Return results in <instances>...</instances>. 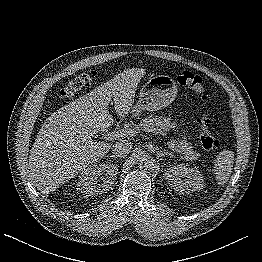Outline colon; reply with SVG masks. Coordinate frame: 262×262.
<instances>
[{
    "instance_id": "5ec220e1",
    "label": "colon",
    "mask_w": 262,
    "mask_h": 262,
    "mask_svg": "<svg viewBox=\"0 0 262 262\" xmlns=\"http://www.w3.org/2000/svg\"><path fill=\"white\" fill-rule=\"evenodd\" d=\"M95 73H83L72 79L68 84L62 88L59 92L60 98L67 99L72 98L74 94L82 89L89 88L92 85ZM178 83L181 86H185L197 95L198 99L206 104L208 101V94L203 78L199 75H195L191 72H184L178 76ZM198 128L200 130L199 139L201 146L206 151H211L218 146V142L211 134V118L207 113L201 114L196 120Z\"/></svg>"
}]
</instances>
